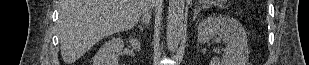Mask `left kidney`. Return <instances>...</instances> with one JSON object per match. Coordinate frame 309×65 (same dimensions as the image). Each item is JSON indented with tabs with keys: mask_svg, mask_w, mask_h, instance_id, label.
<instances>
[{
	"mask_svg": "<svg viewBox=\"0 0 309 65\" xmlns=\"http://www.w3.org/2000/svg\"><path fill=\"white\" fill-rule=\"evenodd\" d=\"M215 36L227 43L226 54L212 58L210 65H247L249 60L248 39L242 24L231 17H207L198 25L197 41L201 44Z\"/></svg>",
	"mask_w": 309,
	"mask_h": 65,
	"instance_id": "left-kidney-1",
	"label": "left kidney"
}]
</instances>
